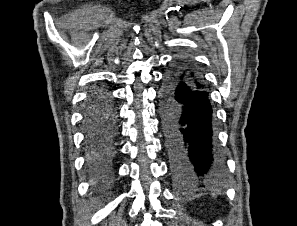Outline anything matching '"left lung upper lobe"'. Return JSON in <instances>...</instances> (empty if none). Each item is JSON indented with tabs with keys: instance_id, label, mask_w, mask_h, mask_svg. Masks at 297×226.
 <instances>
[{
	"instance_id": "left-lung-upper-lobe-1",
	"label": "left lung upper lobe",
	"mask_w": 297,
	"mask_h": 226,
	"mask_svg": "<svg viewBox=\"0 0 297 226\" xmlns=\"http://www.w3.org/2000/svg\"><path fill=\"white\" fill-rule=\"evenodd\" d=\"M180 73L196 86H204L199 75L188 65H180Z\"/></svg>"
}]
</instances>
